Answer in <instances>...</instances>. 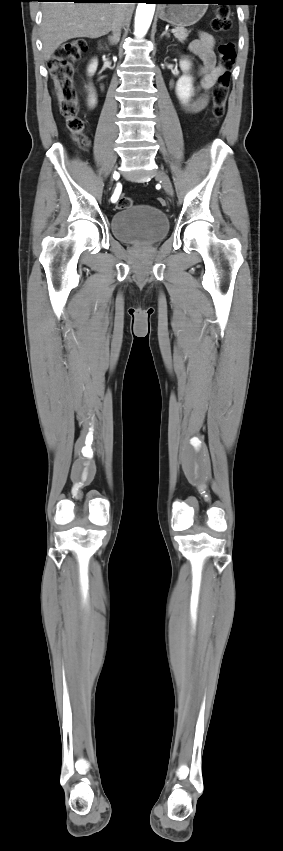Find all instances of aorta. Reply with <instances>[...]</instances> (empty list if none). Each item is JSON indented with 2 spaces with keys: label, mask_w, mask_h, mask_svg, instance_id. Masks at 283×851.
Segmentation results:
<instances>
[{
  "label": "aorta",
  "mask_w": 283,
  "mask_h": 851,
  "mask_svg": "<svg viewBox=\"0 0 283 851\" xmlns=\"http://www.w3.org/2000/svg\"><path fill=\"white\" fill-rule=\"evenodd\" d=\"M155 11V4L153 3H138L135 15V35L137 37H143L152 22L153 15Z\"/></svg>",
  "instance_id": "obj_1"
}]
</instances>
